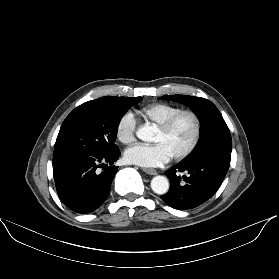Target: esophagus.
<instances>
[{"label": "esophagus", "instance_id": "1", "mask_svg": "<svg viewBox=\"0 0 279 279\" xmlns=\"http://www.w3.org/2000/svg\"><path fill=\"white\" fill-rule=\"evenodd\" d=\"M142 170L149 175H156L157 174V171L155 169L143 168Z\"/></svg>", "mask_w": 279, "mask_h": 279}]
</instances>
